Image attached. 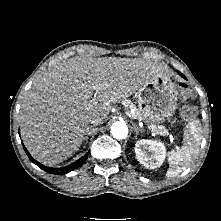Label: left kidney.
<instances>
[{
	"instance_id": "left-kidney-1",
	"label": "left kidney",
	"mask_w": 221,
	"mask_h": 221,
	"mask_svg": "<svg viewBox=\"0 0 221 221\" xmlns=\"http://www.w3.org/2000/svg\"><path fill=\"white\" fill-rule=\"evenodd\" d=\"M134 149L138 161L149 169L160 167L166 157L165 145L156 140H139Z\"/></svg>"
}]
</instances>
